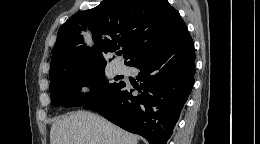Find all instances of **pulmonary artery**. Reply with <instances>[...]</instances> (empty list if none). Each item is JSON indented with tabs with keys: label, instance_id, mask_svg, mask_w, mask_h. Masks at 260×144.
I'll list each match as a JSON object with an SVG mask.
<instances>
[{
	"label": "pulmonary artery",
	"instance_id": "e3ab8cb5",
	"mask_svg": "<svg viewBox=\"0 0 260 144\" xmlns=\"http://www.w3.org/2000/svg\"><path fill=\"white\" fill-rule=\"evenodd\" d=\"M116 70H117L118 72H123V71H125V67H124L123 65H117V66H116Z\"/></svg>",
	"mask_w": 260,
	"mask_h": 144
}]
</instances>
